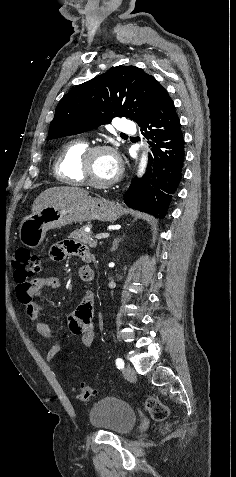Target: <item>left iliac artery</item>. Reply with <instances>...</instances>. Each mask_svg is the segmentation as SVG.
<instances>
[{"mask_svg": "<svg viewBox=\"0 0 236 477\" xmlns=\"http://www.w3.org/2000/svg\"><path fill=\"white\" fill-rule=\"evenodd\" d=\"M116 365L118 369H123L124 368V361L121 358L116 359Z\"/></svg>", "mask_w": 236, "mask_h": 477, "instance_id": "left-iliac-artery-1", "label": "left iliac artery"}]
</instances>
